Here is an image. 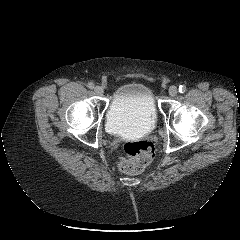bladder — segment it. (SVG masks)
Listing matches in <instances>:
<instances>
[{
	"label": "bladder",
	"mask_w": 240,
	"mask_h": 240,
	"mask_svg": "<svg viewBox=\"0 0 240 240\" xmlns=\"http://www.w3.org/2000/svg\"><path fill=\"white\" fill-rule=\"evenodd\" d=\"M157 118L152 89L135 80L123 84L113 94L106 113V127L118 136L143 135L154 129Z\"/></svg>",
	"instance_id": "bladder-1"
}]
</instances>
